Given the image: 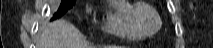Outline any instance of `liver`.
<instances>
[{
  "label": "liver",
  "mask_w": 213,
  "mask_h": 48,
  "mask_svg": "<svg viewBox=\"0 0 213 48\" xmlns=\"http://www.w3.org/2000/svg\"><path fill=\"white\" fill-rule=\"evenodd\" d=\"M37 46V48H91L83 35L70 22L63 19L47 25Z\"/></svg>",
  "instance_id": "obj_1"
}]
</instances>
